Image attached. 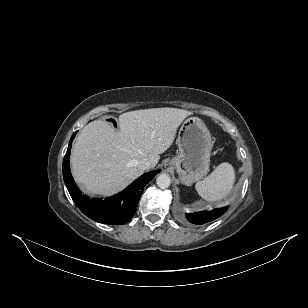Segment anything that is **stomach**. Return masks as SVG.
I'll return each instance as SVG.
<instances>
[{
    "label": "stomach",
    "instance_id": "stomach-1",
    "mask_svg": "<svg viewBox=\"0 0 308 308\" xmlns=\"http://www.w3.org/2000/svg\"><path fill=\"white\" fill-rule=\"evenodd\" d=\"M176 144L179 153L168 164L177 171L183 184L191 185L209 171L213 147L211 134L200 118L190 117L181 125Z\"/></svg>",
    "mask_w": 308,
    "mask_h": 308
}]
</instances>
